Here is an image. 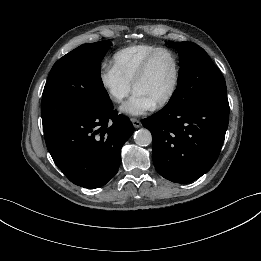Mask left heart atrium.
Returning <instances> with one entry per match:
<instances>
[{
  "label": "left heart atrium",
  "instance_id": "39dd6f15",
  "mask_svg": "<svg viewBox=\"0 0 261 261\" xmlns=\"http://www.w3.org/2000/svg\"><path fill=\"white\" fill-rule=\"evenodd\" d=\"M154 107V103L145 95L134 91L132 97L121 107L122 112L130 115H142Z\"/></svg>",
  "mask_w": 261,
  "mask_h": 261
}]
</instances>
